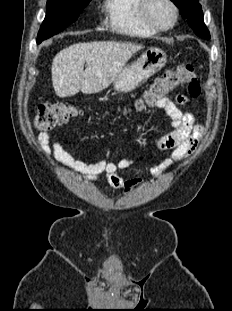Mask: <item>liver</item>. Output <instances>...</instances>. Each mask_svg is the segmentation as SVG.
<instances>
[{"instance_id": "liver-1", "label": "liver", "mask_w": 232, "mask_h": 311, "mask_svg": "<svg viewBox=\"0 0 232 311\" xmlns=\"http://www.w3.org/2000/svg\"><path fill=\"white\" fill-rule=\"evenodd\" d=\"M142 48L141 45L112 41L77 43L64 48L52 62V85L56 95L63 98L79 91L85 94L101 92Z\"/></svg>"}]
</instances>
